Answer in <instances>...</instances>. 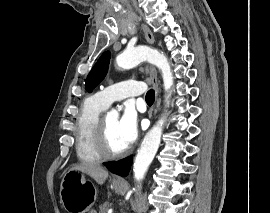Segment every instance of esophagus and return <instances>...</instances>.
<instances>
[{"label":"esophagus","instance_id":"obj_1","mask_svg":"<svg viewBox=\"0 0 270 213\" xmlns=\"http://www.w3.org/2000/svg\"><path fill=\"white\" fill-rule=\"evenodd\" d=\"M142 29L144 31L147 42L149 44H153L154 43V36H153V33L151 32V30L144 24L142 25ZM149 72H150V78H151L152 84H153L154 89H155V97H156L155 105H157V98H158V95L160 92L159 82H158V78H157V71L154 67L150 66ZM155 105L149 111V118H151L156 111ZM116 181L123 182V180L121 178H116Z\"/></svg>","mask_w":270,"mask_h":213}]
</instances>
